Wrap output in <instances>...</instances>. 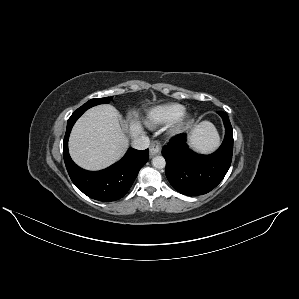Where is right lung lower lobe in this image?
Segmentation results:
<instances>
[{
    "mask_svg": "<svg viewBox=\"0 0 299 299\" xmlns=\"http://www.w3.org/2000/svg\"><path fill=\"white\" fill-rule=\"evenodd\" d=\"M76 110L67 122L63 143V156L72 182L88 197L99 201H115L130 189L139 170L149 158V150L129 148L125 156L112 166L100 171H87L78 167L68 152V138L76 120L84 113Z\"/></svg>",
    "mask_w": 299,
    "mask_h": 299,
    "instance_id": "obj_1",
    "label": "right lung lower lobe"
}]
</instances>
